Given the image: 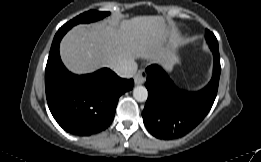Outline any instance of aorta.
I'll list each match as a JSON object with an SVG mask.
<instances>
[{
    "label": "aorta",
    "mask_w": 261,
    "mask_h": 162,
    "mask_svg": "<svg viewBox=\"0 0 261 162\" xmlns=\"http://www.w3.org/2000/svg\"><path fill=\"white\" fill-rule=\"evenodd\" d=\"M133 97L138 102H144L147 100L148 91L144 86H137L133 90Z\"/></svg>",
    "instance_id": "aorta-1"
}]
</instances>
